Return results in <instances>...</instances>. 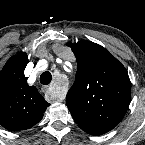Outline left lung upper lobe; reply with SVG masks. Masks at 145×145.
<instances>
[{
    "label": "left lung upper lobe",
    "instance_id": "1",
    "mask_svg": "<svg viewBox=\"0 0 145 145\" xmlns=\"http://www.w3.org/2000/svg\"><path fill=\"white\" fill-rule=\"evenodd\" d=\"M77 60L75 82L66 103L79 127L91 135L112 130L123 119L131 99L124 66L105 48L90 42H69Z\"/></svg>",
    "mask_w": 145,
    "mask_h": 145
}]
</instances>
